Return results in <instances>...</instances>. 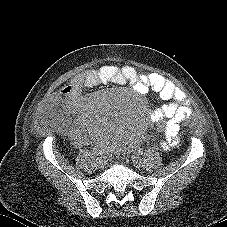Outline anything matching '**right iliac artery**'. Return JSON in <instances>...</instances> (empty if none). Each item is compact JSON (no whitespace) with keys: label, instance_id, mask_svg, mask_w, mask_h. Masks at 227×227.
<instances>
[{"label":"right iliac artery","instance_id":"1","mask_svg":"<svg viewBox=\"0 0 227 227\" xmlns=\"http://www.w3.org/2000/svg\"><path fill=\"white\" fill-rule=\"evenodd\" d=\"M95 154L97 155V156H102V151H95Z\"/></svg>","mask_w":227,"mask_h":227}]
</instances>
